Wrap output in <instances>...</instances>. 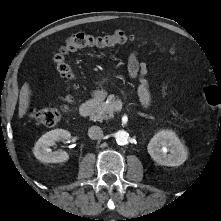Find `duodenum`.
<instances>
[{
  "instance_id": "duodenum-1",
  "label": "duodenum",
  "mask_w": 221,
  "mask_h": 221,
  "mask_svg": "<svg viewBox=\"0 0 221 221\" xmlns=\"http://www.w3.org/2000/svg\"><path fill=\"white\" fill-rule=\"evenodd\" d=\"M93 108H94V105L92 101L89 100V101L84 102L81 105L80 110H79L80 116L82 118H87L91 114Z\"/></svg>"
}]
</instances>
